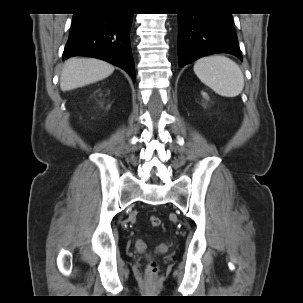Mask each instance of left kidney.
Wrapping results in <instances>:
<instances>
[{
  "instance_id": "left-kidney-1",
  "label": "left kidney",
  "mask_w": 303,
  "mask_h": 303,
  "mask_svg": "<svg viewBox=\"0 0 303 303\" xmlns=\"http://www.w3.org/2000/svg\"><path fill=\"white\" fill-rule=\"evenodd\" d=\"M203 96H206V94H205V93H203Z\"/></svg>"
}]
</instances>
